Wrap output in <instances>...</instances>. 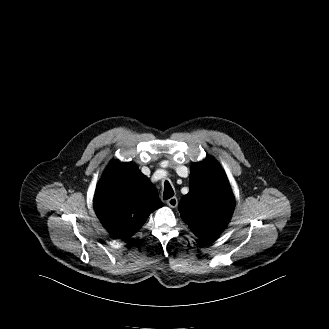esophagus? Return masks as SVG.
I'll return each mask as SVG.
<instances>
[{
	"mask_svg": "<svg viewBox=\"0 0 329 329\" xmlns=\"http://www.w3.org/2000/svg\"><path fill=\"white\" fill-rule=\"evenodd\" d=\"M167 205L171 208H175L178 206V199L176 197H171L167 200Z\"/></svg>",
	"mask_w": 329,
	"mask_h": 329,
	"instance_id": "esophagus-1",
	"label": "esophagus"
}]
</instances>
